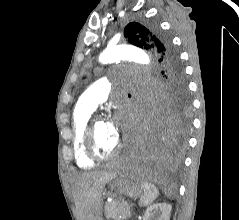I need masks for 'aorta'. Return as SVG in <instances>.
Segmentation results:
<instances>
[{"label":"aorta","mask_w":239,"mask_h":220,"mask_svg":"<svg viewBox=\"0 0 239 220\" xmlns=\"http://www.w3.org/2000/svg\"><path fill=\"white\" fill-rule=\"evenodd\" d=\"M123 47L122 43L107 47L99 56V61L102 63H111L121 59V61H135L136 65H145L148 63L146 48ZM146 71H151V69L148 67Z\"/></svg>","instance_id":"762f6f07"}]
</instances>
